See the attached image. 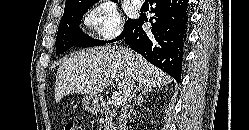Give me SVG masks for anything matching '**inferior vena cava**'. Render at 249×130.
I'll list each match as a JSON object with an SVG mask.
<instances>
[{"label": "inferior vena cava", "instance_id": "inferior-vena-cava-1", "mask_svg": "<svg viewBox=\"0 0 249 130\" xmlns=\"http://www.w3.org/2000/svg\"><path fill=\"white\" fill-rule=\"evenodd\" d=\"M134 96H135V91L132 90L131 93L126 98V100L123 102V109L120 115V130H124L126 127V119L128 115L129 103L131 102V99Z\"/></svg>", "mask_w": 249, "mask_h": 130}]
</instances>
